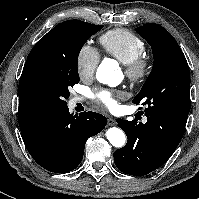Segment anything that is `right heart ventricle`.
I'll list each match as a JSON object with an SVG mask.
<instances>
[{"mask_svg":"<svg viewBox=\"0 0 199 199\" xmlns=\"http://www.w3.org/2000/svg\"><path fill=\"white\" fill-rule=\"evenodd\" d=\"M99 41L108 55L123 64L136 59L145 52L143 40L127 29L110 30L101 35Z\"/></svg>","mask_w":199,"mask_h":199,"instance_id":"right-heart-ventricle-1","label":"right heart ventricle"}]
</instances>
